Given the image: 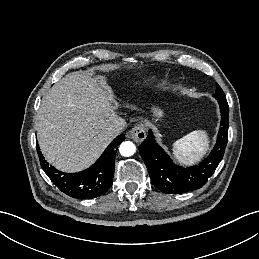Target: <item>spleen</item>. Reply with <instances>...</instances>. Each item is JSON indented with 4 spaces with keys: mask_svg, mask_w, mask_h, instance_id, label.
<instances>
[{
    "mask_svg": "<svg viewBox=\"0 0 259 259\" xmlns=\"http://www.w3.org/2000/svg\"><path fill=\"white\" fill-rule=\"evenodd\" d=\"M209 139L205 131H193L173 143V155L183 164L197 162L207 151Z\"/></svg>",
    "mask_w": 259,
    "mask_h": 259,
    "instance_id": "obj_1",
    "label": "spleen"
}]
</instances>
